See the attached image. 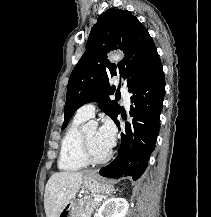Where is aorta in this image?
I'll use <instances>...</instances> for the list:
<instances>
[{
	"instance_id": "aorta-1",
	"label": "aorta",
	"mask_w": 211,
	"mask_h": 217,
	"mask_svg": "<svg viewBox=\"0 0 211 217\" xmlns=\"http://www.w3.org/2000/svg\"><path fill=\"white\" fill-rule=\"evenodd\" d=\"M122 58H123V53L121 52L109 55V60L114 63L120 61Z\"/></svg>"
}]
</instances>
